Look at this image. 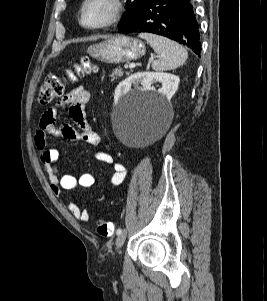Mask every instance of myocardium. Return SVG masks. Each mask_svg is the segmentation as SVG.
<instances>
[{"label": "myocardium", "instance_id": "1", "mask_svg": "<svg viewBox=\"0 0 267 301\" xmlns=\"http://www.w3.org/2000/svg\"><path fill=\"white\" fill-rule=\"evenodd\" d=\"M92 0H83L80 8V23L84 28L92 29V30H99L103 28H107L113 24H115L121 17L123 12V2L122 0H107L111 7V13L107 19L98 23V24H87L85 21V11L86 7Z\"/></svg>", "mask_w": 267, "mask_h": 301}]
</instances>
